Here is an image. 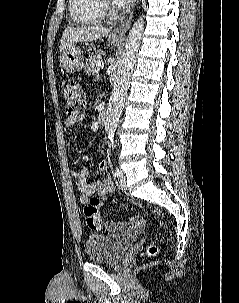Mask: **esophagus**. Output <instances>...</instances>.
Here are the masks:
<instances>
[{
	"label": "esophagus",
	"instance_id": "esophagus-1",
	"mask_svg": "<svg viewBox=\"0 0 239 303\" xmlns=\"http://www.w3.org/2000/svg\"><path fill=\"white\" fill-rule=\"evenodd\" d=\"M132 18H133V12L130 14V16L125 19L120 25L119 27L115 28L110 36L112 38H115V39H122L124 38L126 32L128 31L129 27H130V24H131V21H132Z\"/></svg>",
	"mask_w": 239,
	"mask_h": 303
}]
</instances>
